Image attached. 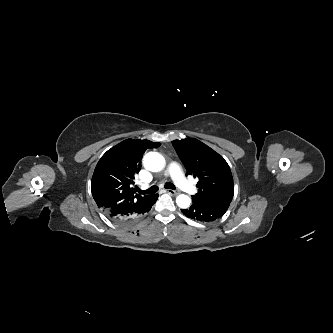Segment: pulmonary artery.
Listing matches in <instances>:
<instances>
[{"label": "pulmonary artery", "instance_id": "1", "mask_svg": "<svg viewBox=\"0 0 333 333\" xmlns=\"http://www.w3.org/2000/svg\"><path fill=\"white\" fill-rule=\"evenodd\" d=\"M167 174L172 177L175 183L178 185L180 189L188 194L196 193V187L189 182L183 175L182 170L178 163L172 162L168 165Z\"/></svg>", "mask_w": 333, "mask_h": 333}]
</instances>
